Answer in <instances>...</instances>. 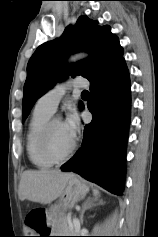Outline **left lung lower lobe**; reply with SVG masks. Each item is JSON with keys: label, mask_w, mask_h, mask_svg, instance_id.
I'll use <instances>...</instances> for the list:
<instances>
[{"label": "left lung lower lobe", "mask_w": 158, "mask_h": 237, "mask_svg": "<svg viewBox=\"0 0 158 237\" xmlns=\"http://www.w3.org/2000/svg\"><path fill=\"white\" fill-rule=\"evenodd\" d=\"M90 84L91 97L87 105L93 119L84 128L81 148L62 165V171H73L120 196L124 189L131 103L130 79L124 59Z\"/></svg>", "instance_id": "0a47b994"}]
</instances>
